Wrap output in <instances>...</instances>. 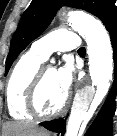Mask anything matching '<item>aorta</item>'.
I'll list each match as a JSON object with an SVG mask.
<instances>
[{
    "label": "aorta",
    "mask_w": 117,
    "mask_h": 136,
    "mask_svg": "<svg viewBox=\"0 0 117 136\" xmlns=\"http://www.w3.org/2000/svg\"><path fill=\"white\" fill-rule=\"evenodd\" d=\"M68 21L87 43L92 81V86L76 93L67 122L65 136H77L82 121L90 118L91 109H95L108 93L113 75V49L110 36L99 20L82 12H69Z\"/></svg>",
    "instance_id": "762f6f07"
}]
</instances>
